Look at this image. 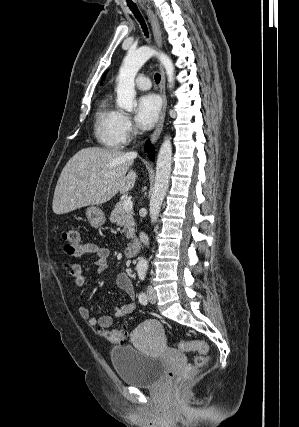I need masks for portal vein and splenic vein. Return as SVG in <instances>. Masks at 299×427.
Here are the masks:
<instances>
[{
  "label": "portal vein and splenic vein",
  "mask_w": 299,
  "mask_h": 427,
  "mask_svg": "<svg viewBox=\"0 0 299 427\" xmlns=\"http://www.w3.org/2000/svg\"><path fill=\"white\" fill-rule=\"evenodd\" d=\"M132 207H133V203H132V201H131V200H125V201L123 202V209H124L125 211H129V210H131V209H132Z\"/></svg>",
  "instance_id": "18ae733b"
}]
</instances>
